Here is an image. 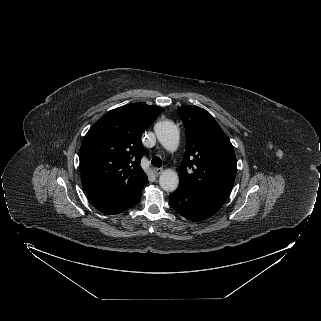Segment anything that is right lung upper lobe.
<instances>
[{"instance_id":"right-lung-upper-lobe-1","label":"right lung upper lobe","mask_w":321,"mask_h":321,"mask_svg":"<svg viewBox=\"0 0 321 321\" xmlns=\"http://www.w3.org/2000/svg\"><path fill=\"white\" fill-rule=\"evenodd\" d=\"M162 108L128 104L102 116L80 148L83 185L97 209H120L141 198L147 176L140 166L142 132Z\"/></svg>"}]
</instances>
